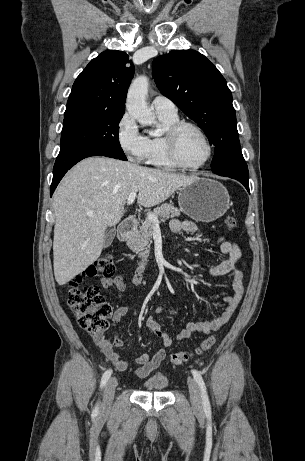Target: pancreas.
I'll return each mask as SVG.
<instances>
[{
  "mask_svg": "<svg viewBox=\"0 0 305 461\" xmlns=\"http://www.w3.org/2000/svg\"><path fill=\"white\" fill-rule=\"evenodd\" d=\"M149 215H154L157 218L160 217L163 221L164 219H168L170 217L180 216V210L172 204L164 203L148 214L145 221L142 222L139 230H135L131 233L126 244L132 252L138 254L141 258H147L150 252L149 243L151 242L154 223L149 218Z\"/></svg>",
  "mask_w": 305,
  "mask_h": 461,
  "instance_id": "obj_1",
  "label": "pancreas"
}]
</instances>
